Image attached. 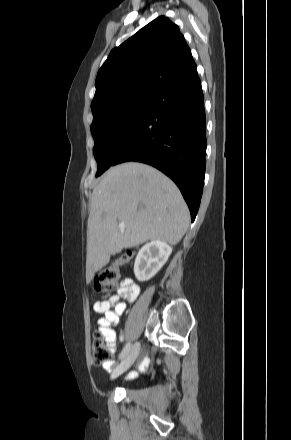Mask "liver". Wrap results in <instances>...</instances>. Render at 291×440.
Here are the masks:
<instances>
[{
    "label": "liver",
    "mask_w": 291,
    "mask_h": 440,
    "mask_svg": "<svg viewBox=\"0 0 291 440\" xmlns=\"http://www.w3.org/2000/svg\"><path fill=\"white\" fill-rule=\"evenodd\" d=\"M119 223L125 228L120 229ZM190 223L178 187L157 169L128 162L111 167L94 188L87 226L86 280L110 255L148 240L176 245Z\"/></svg>",
    "instance_id": "6515ba94"
}]
</instances>
